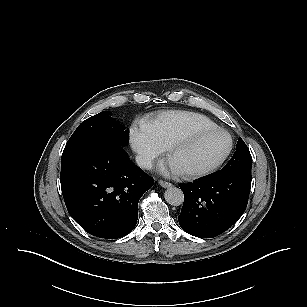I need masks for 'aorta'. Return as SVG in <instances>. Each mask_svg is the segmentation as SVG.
I'll return each instance as SVG.
<instances>
[{"instance_id":"aorta-1","label":"aorta","mask_w":307,"mask_h":307,"mask_svg":"<svg viewBox=\"0 0 307 307\" xmlns=\"http://www.w3.org/2000/svg\"><path fill=\"white\" fill-rule=\"evenodd\" d=\"M166 202L173 206H179L184 201V194L181 189L177 187H169L164 193Z\"/></svg>"}]
</instances>
